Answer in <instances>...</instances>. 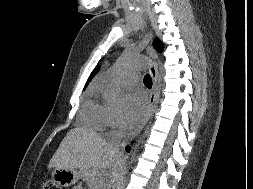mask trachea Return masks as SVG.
Wrapping results in <instances>:
<instances>
[{
	"label": "trachea",
	"instance_id": "3493384b",
	"mask_svg": "<svg viewBox=\"0 0 253 189\" xmlns=\"http://www.w3.org/2000/svg\"><path fill=\"white\" fill-rule=\"evenodd\" d=\"M144 84H145V86L147 88L151 89V87H152V79H151L150 75H146L144 77Z\"/></svg>",
	"mask_w": 253,
	"mask_h": 189
}]
</instances>
